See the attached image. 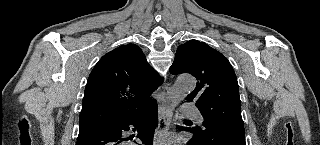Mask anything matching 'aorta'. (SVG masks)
<instances>
[{"instance_id":"1","label":"aorta","mask_w":320,"mask_h":145,"mask_svg":"<svg viewBox=\"0 0 320 145\" xmlns=\"http://www.w3.org/2000/svg\"><path fill=\"white\" fill-rule=\"evenodd\" d=\"M196 86V80L190 75H181L177 78L168 99L172 106L175 107L190 93Z\"/></svg>"}]
</instances>
